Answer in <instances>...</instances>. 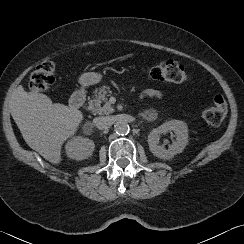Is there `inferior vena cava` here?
I'll use <instances>...</instances> for the list:
<instances>
[{
    "label": "inferior vena cava",
    "mask_w": 244,
    "mask_h": 244,
    "mask_svg": "<svg viewBox=\"0 0 244 244\" xmlns=\"http://www.w3.org/2000/svg\"><path fill=\"white\" fill-rule=\"evenodd\" d=\"M113 123V119L110 116L96 117L93 119V124L101 130L110 128Z\"/></svg>",
    "instance_id": "602c4592"
}]
</instances>
